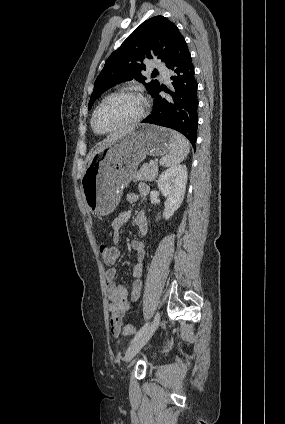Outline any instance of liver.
<instances>
[{
	"label": "liver",
	"instance_id": "1",
	"mask_svg": "<svg viewBox=\"0 0 285 424\" xmlns=\"http://www.w3.org/2000/svg\"><path fill=\"white\" fill-rule=\"evenodd\" d=\"M126 133H120V134H112L110 136H108L101 145H99L93 152H91L88 155V159L91 160V158L98 152L102 151L105 147H107L108 145L114 143L115 141H117V139L119 137H122L123 135H125Z\"/></svg>",
	"mask_w": 285,
	"mask_h": 424
}]
</instances>
